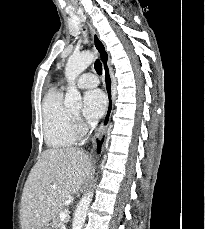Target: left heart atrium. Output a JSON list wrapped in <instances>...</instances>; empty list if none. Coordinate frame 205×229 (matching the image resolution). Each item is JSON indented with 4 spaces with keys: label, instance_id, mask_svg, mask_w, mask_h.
<instances>
[{
    "label": "left heart atrium",
    "instance_id": "obj_1",
    "mask_svg": "<svg viewBox=\"0 0 205 229\" xmlns=\"http://www.w3.org/2000/svg\"><path fill=\"white\" fill-rule=\"evenodd\" d=\"M83 114L89 120L100 118L106 111L107 98L103 91L94 89L84 95Z\"/></svg>",
    "mask_w": 205,
    "mask_h": 229
}]
</instances>
